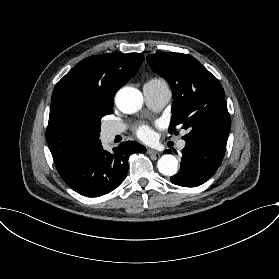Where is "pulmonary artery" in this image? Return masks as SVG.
Wrapping results in <instances>:
<instances>
[{
    "label": "pulmonary artery",
    "instance_id": "e3ab8cb5",
    "mask_svg": "<svg viewBox=\"0 0 279 279\" xmlns=\"http://www.w3.org/2000/svg\"><path fill=\"white\" fill-rule=\"evenodd\" d=\"M143 94L147 105L153 110H160L171 99V90L167 82L163 79H155L148 81L143 86ZM128 125L125 123L114 122L106 124L104 132L107 136L115 137L122 134ZM185 146V142H180L179 148L182 149Z\"/></svg>",
    "mask_w": 279,
    "mask_h": 279
}]
</instances>
